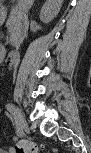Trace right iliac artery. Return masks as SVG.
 <instances>
[{
    "instance_id": "obj_1",
    "label": "right iliac artery",
    "mask_w": 91,
    "mask_h": 153,
    "mask_svg": "<svg viewBox=\"0 0 91 153\" xmlns=\"http://www.w3.org/2000/svg\"><path fill=\"white\" fill-rule=\"evenodd\" d=\"M6 109H7L8 112H10L11 114H13V105L12 104H7L6 105ZM17 133H18L19 136H21V132L19 131L18 128H17Z\"/></svg>"
}]
</instances>
